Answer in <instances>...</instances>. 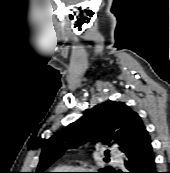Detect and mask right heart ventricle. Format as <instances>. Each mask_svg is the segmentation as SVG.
I'll list each match as a JSON object with an SVG mask.
<instances>
[{"label":"right heart ventricle","mask_w":170,"mask_h":173,"mask_svg":"<svg viewBox=\"0 0 170 173\" xmlns=\"http://www.w3.org/2000/svg\"><path fill=\"white\" fill-rule=\"evenodd\" d=\"M61 169H67V167H62Z\"/></svg>","instance_id":"obj_1"}]
</instances>
